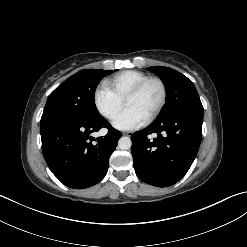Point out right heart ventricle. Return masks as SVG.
<instances>
[{
    "label": "right heart ventricle",
    "mask_w": 247,
    "mask_h": 247,
    "mask_svg": "<svg viewBox=\"0 0 247 247\" xmlns=\"http://www.w3.org/2000/svg\"><path fill=\"white\" fill-rule=\"evenodd\" d=\"M148 75L137 70H127L114 75L106 81V85L122 100L126 94Z\"/></svg>",
    "instance_id": "1"
}]
</instances>
